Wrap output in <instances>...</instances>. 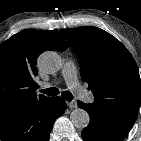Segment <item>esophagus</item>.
Masks as SVG:
<instances>
[{
    "label": "esophagus",
    "mask_w": 141,
    "mask_h": 141,
    "mask_svg": "<svg viewBox=\"0 0 141 141\" xmlns=\"http://www.w3.org/2000/svg\"><path fill=\"white\" fill-rule=\"evenodd\" d=\"M67 106L71 109L77 108V102L76 101L67 102Z\"/></svg>",
    "instance_id": "esophagus-1"
}]
</instances>
